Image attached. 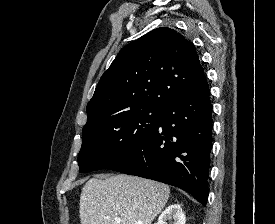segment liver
Wrapping results in <instances>:
<instances>
[{
	"instance_id": "6515ba94",
	"label": "liver",
	"mask_w": 275,
	"mask_h": 224,
	"mask_svg": "<svg viewBox=\"0 0 275 224\" xmlns=\"http://www.w3.org/2000/svg\"><path fill=\"white\" fill-rule=\"evenodd\" d=\"M170 195L168 185L129 175L86 182L80 196L81 224H152Z\"/></svg>"
}]
</instances>
